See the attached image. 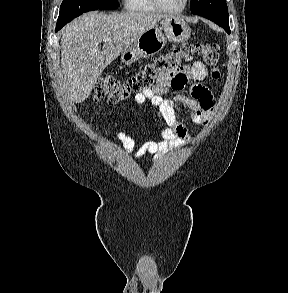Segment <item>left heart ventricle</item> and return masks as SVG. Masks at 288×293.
<instances>
[{
  "mask_svg": "<svg viewBox=\"0 0 288 293\" xmlns=\"http://www.w3.org/2000/svg\"><path fill=\"white\" fill-rule=\"evenodd\" d=\"M160 1L165 7L169 9H177L183 3V0H160Z\"/></svg>",
  "mask_w": 288,
  "mask_h": 293,
  "instance_id": "obj_1",
  "label": "left heart ventricle"
}]
</instances>
